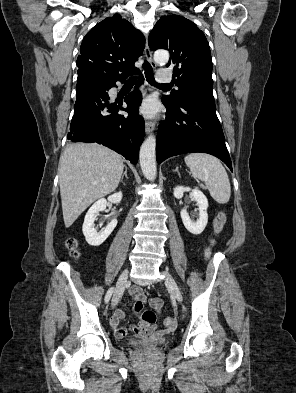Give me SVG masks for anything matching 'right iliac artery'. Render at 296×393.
I'll return each instance as SVG.
<instances>
[{"instance_id": "82829eb1", "label": "right iliac artery", "mask_w": 296, "mask_h": 393, "mask_svg": "<svg viewBox=\"0 0 296 393\" xmlns=\"http://www.w3.org/2000/svg\"><path fill=\"white\" fill-rule=\"evenodd\" d=\"M113 292H114V287H111V288L107 291V293H106V295H105V302H106V303L109 302V300H110V298H111Z\"/></svg>"}]
</instances>
